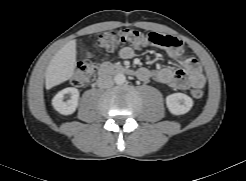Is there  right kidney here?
<instances>
[{
    "label": "right kidney",
    "instance_id": "right-kidney-1",
    "mask_svg": "<svg viewBox=\"0 0 246 181\" xmlns=\"http://www.w3.org/2000/svg\"><path fill=\"white\" fill-rule=\"evenodd\" d=\"M65 94L71 97L67 101H63ZM79 91L76 88L69 87L58 92L52 99L54 109L62 115H70L75 112L78 106Z\"/></svg>",
    "mask_w": 246,
    "mask_h": 181
}]
</instances>
